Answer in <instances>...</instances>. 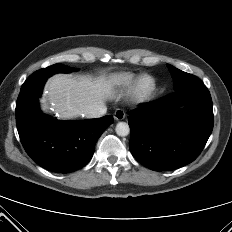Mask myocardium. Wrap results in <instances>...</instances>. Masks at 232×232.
I'll return each mask as SVG.
<instances>
[{"instance_id": "1", "label": "myocardium", "mask_w": 232, "mask_h": 232, "mask_svg": "<svg viewBox=\"0 0 232 232\" xmlns=\"http://www.w3.org/2000/svg\"><path fill=\"white\" fill-rule=\"evenodd\" d=\"M155 87V81L148 75L141 76L134 87V94L139 99L148 97Z\"/></svg>"}]
</instances>
